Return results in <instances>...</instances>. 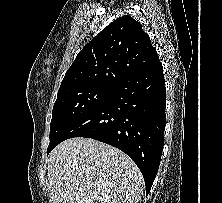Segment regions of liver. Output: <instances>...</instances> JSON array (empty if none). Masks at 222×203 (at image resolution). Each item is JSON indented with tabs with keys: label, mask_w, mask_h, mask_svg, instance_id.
<instances>
[{
	"label": "liver",
	"mask_w": 222,
	"mask_h": 203,
	"mask_svg": "<svg viewBox=\"0 0 222 203\" xmlns=\"http://www.w3.org/2000/svg\"><path fill=\"white\" fill-rule=\"evenodd\" d=\"M52 203H138L142 174L121 150L90 139L72 138L49 154Z\"/></svg>",
	"instance_id": "obj_1"
}]
</instances>
